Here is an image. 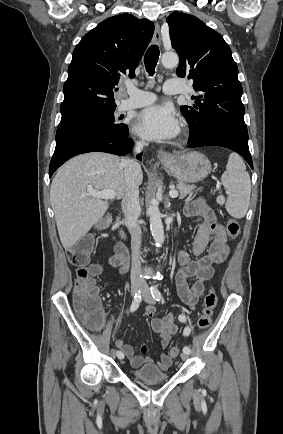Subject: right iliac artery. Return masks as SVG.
<instances>
[{
    "label": "right iliac artery",
    "instance_id": "right-iliac-artery-1",
    "mask_svg": "<svg viewBox=\"0 0 283 434\" xmlns=\"http://www.w3.org/2000/svg\"><path fill=\"white\" fill-rule=\"evenodd\" d=\"M141 292L138 291V293L135 294L134 299L132 301V304L130 306V312H134L138 309L140 303H141ZM117 356L119 359H123V354L119 351H117Z\"/></svg>",
    "mask_w": 283,
    "mask_h": 434
}]
</instances>
